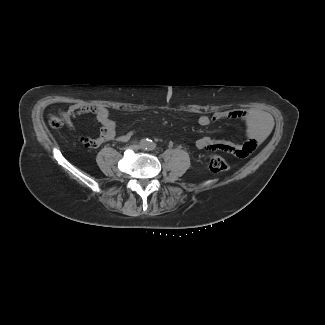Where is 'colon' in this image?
I'll list each match as a JSON object with an SVG mask.
<instances>
[{"label": "colon", "instance_id": "obj_1", "mask_svg": "<svg viewBox=\"0 0 325 325\" xmlns=\"http://www.w3.org/2000/svg\"><path fill=\"white\" fill-rule=\"evenodd\" d=\"M49 124L55 129H60L63 126V120L58 116H50ZM209 168L213 173H220L228 170L229 164L223 157L212 155L209 159Z\"/></svg>", "mask_w": 325, "mask_h": 325}]
</instances>
